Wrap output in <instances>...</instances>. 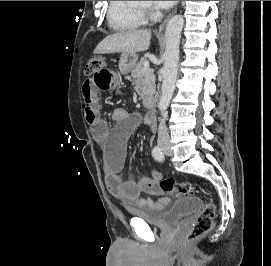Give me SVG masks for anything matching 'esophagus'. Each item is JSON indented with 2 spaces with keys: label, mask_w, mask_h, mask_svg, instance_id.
<instances>
[{
  "label": "esophagus",
  "mask_w": 271,
  "mask_h": 266,
  "mask_svg": "<svg viewBox=\"0 0 271 266\" xmlns=\"http://www.w3.org/2000/svg\"><path fill=\"white\" fill-rule=\"evenodd\" d=\"M176 12V9L172 11L171 14L167 16V18L163 21V23L159 26V32H162L168 22V20L172 17V15Z\"/></svg>",
  "instance_id": "esophagus-1"
}]
</instances>
